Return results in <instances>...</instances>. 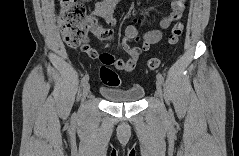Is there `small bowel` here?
<instances>
[{"label":"small bowel","mask_w":239,"mask_h":156,"mask_svg":"<svg viewBox=\"0 0 239 156\" xmlns=\"http://www.w3.org/2000/svg\"><path fill=\"white\" fill-rule=\"evenodd\" d=\"M118 0H99L96 2L90 24L93 34L107 45L114 40L110 28L103 27L97 23V17L103 18L109 26L117 24L116 11ZM185 10L182 0H173L170 13L161 19L159 27L147 31L140 30L135 23L126 26L125 34L121 42L123 50L128 55L127 59L115 58L111 53H99L92 47L91 52H84L90 58L98 59L105 66H114L121 71H132L139 61L140 55L147 51L150 45L159 42L162 38V30L169 28L173 22L179 20ZM131 42L140 43V46H131Z\"/></svg>","instance_id":"small-bowel-1"}]
</instances>
